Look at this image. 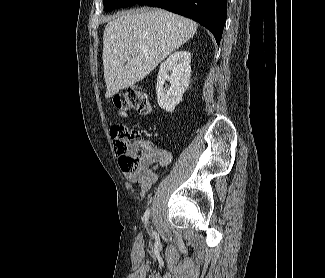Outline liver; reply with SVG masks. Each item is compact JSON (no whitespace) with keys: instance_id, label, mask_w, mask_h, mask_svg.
Masks as SVG:
<instances>
[{"instance_id":"6515ba94","label":"liver","mask_w":325,"mask_h":278,"mask_svg":"<svg viewBox=\"0 0 325 278\" xmlns=\"http://www.w3.org/2000/svg\"><path fill=\"white\" fill-rule=\"evenodd\" d=\"M191 19L162 9L130 10L110 20L103 34L106 98L144 79L197 31Z\"/></svg>"}]
</instances>
